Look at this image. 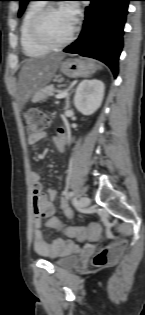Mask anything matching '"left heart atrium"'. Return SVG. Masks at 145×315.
I'll use <instances>...</instances> for the list:
<instances>
[{"label": "left heart atrium", "mask_w": 145, "mask_h": 315, "mask_svg": "<svg viewBox=\"0 0 145 315\" xmlns=\"http://www.w3.org/2000/svg\"><path fill=\"white\" fill-rule=\"evenodd\" d=\"M63 10L70 16V18L73 20V22L76 21L78 9H77V6L75 4H66L63 7Z\"/></svg>", "instance_id": "left-heart-atrium-1"}]
</instances>
